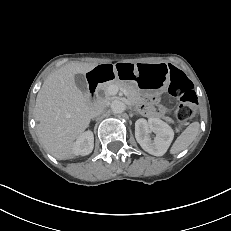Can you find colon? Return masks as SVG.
<instances>
[{
	"label": "colon",
	"instance_id": "5ec220e1",
	"mask_svg": "<svg viewBox=\"0 0 231 231\" xmlns=\"http://www.w3.org/2000/svg\"><path fill=\"white\" fill-rule=\"evenodd\" d=\"M170 93L178 97L176 117L179 126L183 127L194 116L196 110L197 96L193 84L181 71L176 70L170 85Z\"/></svg>",
	"mask_w": 231,
	"mask_h": 231
}]
</instances>
